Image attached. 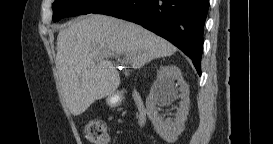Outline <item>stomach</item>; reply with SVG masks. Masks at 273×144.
Wrapping results in <instances>:
<instances>
[{
    "instance_id": "obj_1",
    "label": "stomach",
    "mask_w": 273,
    "mask_h": 144,
    "mask_svg": "<svg viewBox=\"0 0 273 144\" xmlns=\"http://www.w3.org/2000/svg\"><path fill=\"white\" fill-rule=\"evenodd\" d=\"M106 102L110 107H116L121 102V95L119 93H112L108 95Z\"/></svg>"
}]
</instances>
